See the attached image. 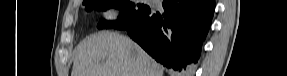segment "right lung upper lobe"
<instances>
[{"mask_svg":"<svg viewBox=\"0 0 287 76\" xmlns=\"http://www.w3.org/2000/svg\"><path fill=\"white\" fill-rule=\"evenodd\" d=\"M86 1H88V0H84L83 3L86 2Z\"/></svg>","mask_w":287,"mask_h":76,"instance_id":"right-lung-upper-lobe-1","label":"right lung upper lobe"}]
</instances>
